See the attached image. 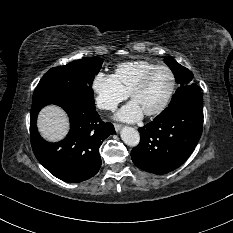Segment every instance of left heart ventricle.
I'll use <instances>...</instances> for the list:
<instances>
[{"label":"left heart ventricle","instance_id":"obj_1","mask_svg":"<svg viewBox=\"0 0 233 233\" xmlns=\"http://www.w3.org/2000/svg\"><path fill=\"white\" fill-rule=\"evenodd\" d=\"M171 87V76L166 70L156 71L145 87L136 93L132 100L144 113L150 112L164 101Z\"/></svg>","mask_w":233,"mask_h":233}]
</instances>
